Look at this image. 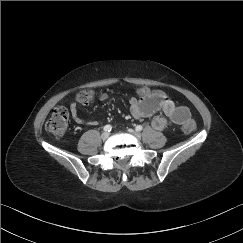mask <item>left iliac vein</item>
Segmentation results:
<instances>
[{
	"instance_id": "obj_1",
	"label": "left iliac vein",
	"mask_w": 243,
	"mask_h": 243,
	"mask_svg": "<svg viewBox=\"0 0 243 243\" xmlns=\"http://www.w3.org/2000/svg\"><path fill=\"white\" fill-rule=\"evenodd\" d=\"M128 131H129V133H131L132 135H134V136H136V137H140V133H139V132L134 131V130H132V129H130V130H128Z\"/></svg>"
}]
</instances>
